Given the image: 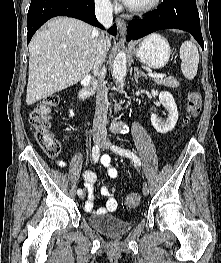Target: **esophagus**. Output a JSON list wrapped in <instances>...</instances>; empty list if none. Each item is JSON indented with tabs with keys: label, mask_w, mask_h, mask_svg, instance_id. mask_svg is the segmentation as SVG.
<instances>
[{
	"label": "esophagus",
	"mask_w": 221,
	"mask_h": 263,
	"mask_svg": "<svg viewBox=\"0 0 221 263\" xmlns=\"http://www.w3.org/2000/svg\"><path fill=\"white\" fill-rule=\"evenodd\" d=\"M116 23L118 26L119 35L124 38L126 36V22L121 18H117Z\"/></svg>",
	"instance_id": "34e87169"
}]
</instances>
